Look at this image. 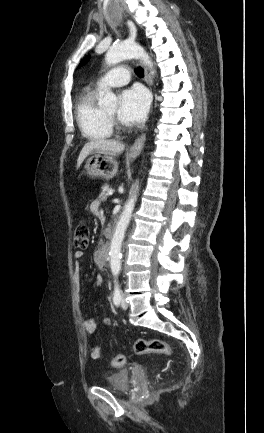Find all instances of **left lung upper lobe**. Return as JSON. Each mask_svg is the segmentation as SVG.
I'll return each mask as SVG.
<instances>
[{
	"label": "left lung upper lobe",
	"mask_w": 264,
	"mask_h": 433,
	"mask_svg": "<svg viewBox=\"0 0 264 433\" xmlns=\"http://www.w3.org/2000/svg\"><path fill=\"white\" fill-rule=\"evenodd\" d=\"M88 59H89V57H85V58L82 60V62L80 63V65L86 63V62L88 61Z\"/></svg>",
	"instance_id": "1"
}]
</instances>
